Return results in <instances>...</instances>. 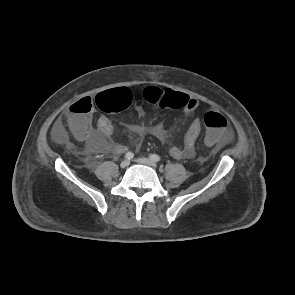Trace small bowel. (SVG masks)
Returning a JSON list of instances; mask_svg holds the SVG:
<instances>
[{"instance_id": "small-bowel-1", "label": "small bowel", "mask_w": 295, "mask_h": 295, "mask_svg": "<svg viewBox=\"0 0 295 295\" xmlns=\"http://www.w3.org/2000/svg\"><path fill=\"white\" fill-rule=\"evenodd\" d=\"M199 106L200 104L197 99L188 96V101L183 107V112L185 118L190 120V124L184 133L182 145L172 146L169 150L170 155L175 159H190L195 155V142L202 129L201 118L196 116ZM70 114L69 111L68 116ZM127 127L130 131L139 135L149 134L159 140H164L166 137L164 121L129 124ZM71 129L79 140L85 142L88 151L91 153L119 155L127 150L124 144L111 140L114 132L113 125L109 118L104 115H101L97 119L95 128L92 126L91 113H89L79 120L76 129ZM53 136L58 142H67L61 123L57 122L54 125Z\"/></svg>"}]
</instances>
